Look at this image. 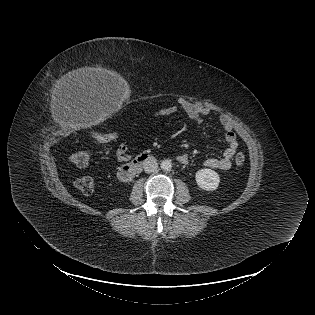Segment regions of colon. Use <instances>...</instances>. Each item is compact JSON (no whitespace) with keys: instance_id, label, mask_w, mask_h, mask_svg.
I'll list each match as a JSON object with an SVG mask.
<instances>
[{"instance_id":"obj_1","label":"colon","mask_w":315,"mask_h":315,"mask_svg":"<svg viewBox=\"0 0 315 315\" xmlns=\"http://www.w3.org/2000/svg\"><path fill=\"white\" fill-rule=\"evenodd\" d=\"M95 138L103 143L110 142L114 140V136L112 134H97ZM70 160L73 164L78 167H85L88 165L90 161V154L86 150H76L70 155ZM245 162V155L243 153H238L235 156V163L238 166L243 165ZM75 186L83 193V194H91L94 191L95 182L91 176H82L79 177L75 181Z\"/></svg>"}]
</instances>
